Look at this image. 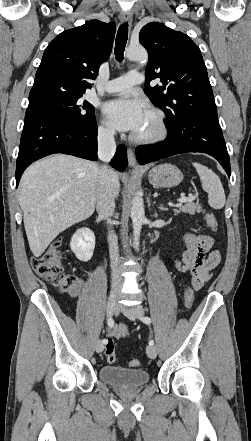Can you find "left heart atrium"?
Returning <instances> with one entry per match:
<instances>
[{"mask_svg":"<svg viewBox=\"0 0 251 441\" xmlns=\"http://www.w3.org/2000/svg\"><path fill=\"white\" fill-rule=\"evenodd\" d=\"M103 111L116 129L136 133L144 121L147 107L139 98L121 97L107 102Z\"/></svg>","mask_w":251,"mask_h":441,"instance_id":"1","label":"left heart atrium"}]
</instances>
